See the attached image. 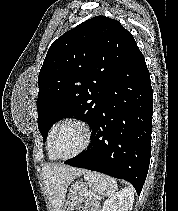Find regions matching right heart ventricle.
Segmentation results:
<instances>
[{"label": "right heart ventricle", "instance_id": "e07e8e85", "mask_svg": "<svg viewBox=\"0 0 178 211\" xmlns=\"http://www.w3.org/2000/svg\"><path fill=\"white\" fill-rule=\"evenodd\" d=\"M59 123H55L51 129H50V132H49V135H48V139H47V151H48V157L51 159V160H55L56 157L54 156L53 152H52V149H51V140H52V135H53V132L55 130V128L57 127Z\"/></svg>", "mask_w": 178, "mask_h": 211}]
</instances>
